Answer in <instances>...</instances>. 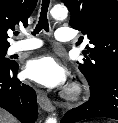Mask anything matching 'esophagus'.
<instances>
[{
  "label": "esophagus",
  "instance_id": "34e87169",
  "mask_svg": "<svg viewBox=\"0 0 118 123\" xmlns=\"http://www.w3.org/2000/svg\"><path fill=\"white\" fill-rule=\"evenodd\" d=\"M37 101L40 105V107L47 112H52L54 107L51 102V100L48 98V96L43 91H38L37 93Z\"/></svg>",
  "mask_w": 118,
  "mask_h": 123
}]
</instances>
